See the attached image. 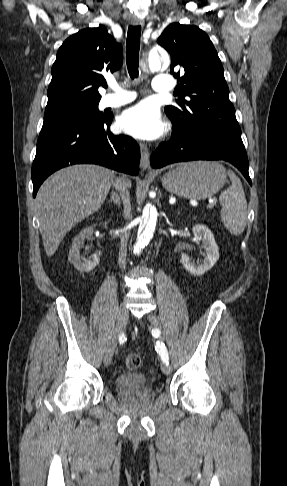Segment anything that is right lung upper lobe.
Here are the masks:
<instances>
[{"instance_id":"right-lung-upper-lobe-1","label":"right lung upper lobe","mask_w":287,"mask_h":486,"mask_svg":"<svg viewBox=\"0 0 287 486\" xmlns=\"http://www.w3.org/2000/svg\"><path fill=\"white\" fill-rule=\"evenodd\" d=\"M123 62L122 45L100 25L67 38L51 70L47 107L100 100L98 87L106 72L118 70Z\"/></svg>"}]
</instances>
